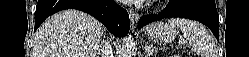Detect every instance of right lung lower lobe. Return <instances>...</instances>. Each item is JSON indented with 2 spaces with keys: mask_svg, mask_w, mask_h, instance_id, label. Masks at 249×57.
<instances>
[{
  "mask_svg": "<svg viewBox=\"0 0 249 57\" xmlns=\"http://www.w3.org/2000/svg\"><path fill=\"white\" fill-rule=\"evenodd\" d=\"M69 8L94 16L117 37H124L129 32L130 20L127 11L111 0H38L34 31L50 15Z\"/></svg>",
  "mask_w": 249,
  "mask_h": 57,
  "instance_id": "1",
  "label": "right lung lower lobe"
}]
</instances>
